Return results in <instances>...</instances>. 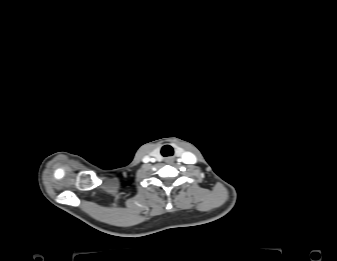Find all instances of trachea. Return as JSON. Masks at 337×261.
Wrapping results in <instances>:
<instances>
[{
    "instance_id": "obj_1",
    "label": "trachea",
    "mask_w": 337,
    "mask_h": 261,
    "mask_svg": "<svg viewBox=\"0 0 337 261\" xmlns=\"http://www.w3.org/2000/svg\"><path fill=\"white\" fill-rule=\"evenodd\" d=\"M161 154L163 156H172L173 155V148L170 145H165L161 149Z\"/></svg>"
}]
</instances>
